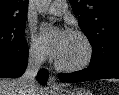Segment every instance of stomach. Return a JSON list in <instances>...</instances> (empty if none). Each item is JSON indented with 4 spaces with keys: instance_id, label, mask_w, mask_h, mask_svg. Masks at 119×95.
I'll return each instance as SVG.
<instances>
[{
    "instance_id": "obj_1",
    "label": "stomach",
    "mask_w": 119,
    "mask_h": 95,
    "mask_svg": "<svg viewBox=\"0 0 119 95\" xmlns=\"http://www.w3.org/2000/svg\"><path fill=\"white\" fill-rule=\"evenodd\" d=\"M53 95H92V93L83 88H74V89H67L59 92H54Z\"/></svg>"
}]
</instances>
